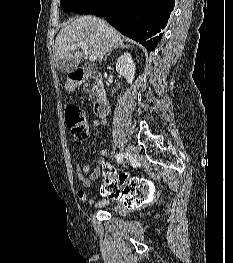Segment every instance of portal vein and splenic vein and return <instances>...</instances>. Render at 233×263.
<instances>
[{"instance_id": "18ae733b", "label": "portal vein and splenic vein", "mask_w": 233, "mask_h": 263, "mask_svg": "<svg viewBox=\"0 0 233 263\" xmlns=\"http://www.w3.org/2000/svg\"><path fill=\"white\" fill-rule=\"evenodd\" d=\"M76 46H80L82 48V50L84 51V54L86 55V57L90 61H96L97 57L95 55H92V54L89 53L86 43L80 42V43L72 46L71 50H75Z\"/></svg>"}]
</instances>
